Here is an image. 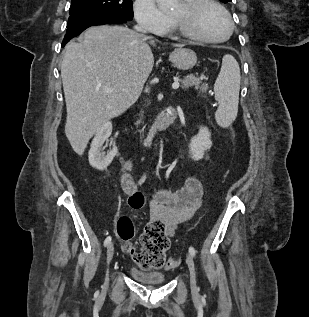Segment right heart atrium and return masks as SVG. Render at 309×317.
I'll return each instance as SVG.
<instances>
[{"label":"right heart atrium","mask_w":309,"mask_h":317,"mask_svg":"<svg viewBox=\"0 0 309 317\" xmlns=\"http://www.w3.org/2000/svg\"><path fill=\"white\" fill-rule=\"evenodd\" d=\"M135 20L140 28L151 34H159L171 26V19L158 6L156 0H135Z\"/></svg>","instance_id":"d8ad5b80"}]
</instances>
